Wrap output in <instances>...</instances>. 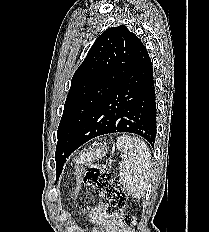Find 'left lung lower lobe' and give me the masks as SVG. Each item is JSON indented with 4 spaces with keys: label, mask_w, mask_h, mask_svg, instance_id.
Listing matches in <instances>:
<instances>
[{
    "label": "left lung lower lobe",
    "mask_w": 209,
    "mask_h": 232,
    "mask_svg": "<svg viewBox=\"0 0 209 232\" xmlns=\"http://www.w3.org/2000/svg\"><path fill=\"white\" fill-rule=\"evenodd\" d=\"M156 116L152 63L141 42L123 79L77 130L69 153L97 136L116 132L137 134L154 147Z\"/></svg>",
    "instance_id": "1"
}]
</instances>
